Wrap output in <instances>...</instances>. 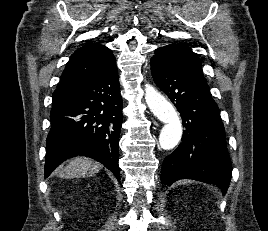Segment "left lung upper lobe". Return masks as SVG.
Wrapping results in <instances>:
<instances>
[{
  "mask_svg": "<svg viewBox=\"0 0 268 231\" xmlns=\"http://www.w3.org/2000/svg\"><path fill=\"white\" fill-rule=\"evenodd\" d=\"M153 58L162 60L171 67L206 82L202 64L197 55L183 44H169L155 50Z\"/></svg>",
  "mask_w": 268,
  "mask_h": 231,
  "instance_id": "obj_1",
  "label": "left lung upper lobe"
}]
</instances>
